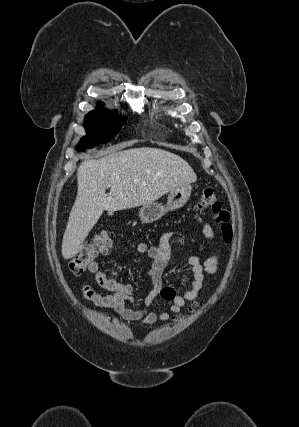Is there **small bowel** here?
<instances>
[{
  "mask_svg": "<svg viewBox=\"0 0 299 427\" xmlns=\"http://www.w3.org/2000/svg\"><path fill=\"white\" fill-rule=\"evenodd\" d=\"M203 233L208 239H212L214 234L209 225L203 227ZM171 231L164 232L155 245L138 243L136 252L146 255L149 259L147 274L151 279L153 288L145 298V306L142 308H132L129 303L133 301L134 286L127 282L109 278L105 271L100 269L97 262H94L89 270L94 274L95 283L102 289L111 292L107 295L99 294L94 288L86 283L82 287L85 299L91 301L96 306L113 309L123 319L137 321L141 324H154L156 321H167L178 314L188 303L195 302L199 293L203 289L205 274H215L218 271L220 260V250L204 261L198 256L187 258L186 265L193 274L190 288L178 294L174 288L165 286L163 283V272L166 262L171 255ZM161 298L168 306L167 311H155L151 308L153 303Z\"/></svg>",
  "mask_w": 299,
  "mask_h": 427,
  "instance_id": "c3829d8e",
  "label": "small bowel"
}]
</instances>
